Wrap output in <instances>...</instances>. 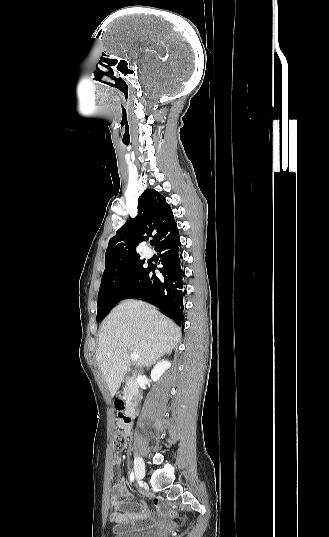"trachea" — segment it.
<instances>
[{"label": "trachea", "instance_id": "trachea-1", "mask_svg": "<svg viewBox=\"0 0 329 537\" xmlns=\"http://www.w3.org/2000/svg\"><path fill=\"white\" fill-rule=\"evenodd\" d=\"M154 244H155V242H154V241H151V245L153 246Z\"/></svg>", "mask_w": 329, "mask_h": 537}]
</instances>
